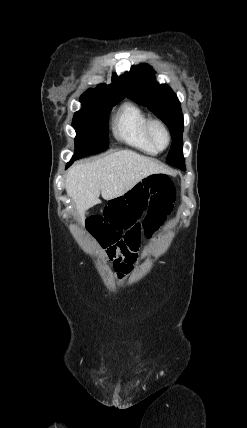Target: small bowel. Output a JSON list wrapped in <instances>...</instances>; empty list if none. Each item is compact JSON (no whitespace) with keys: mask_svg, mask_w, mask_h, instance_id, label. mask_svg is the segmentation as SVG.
Here are the masks:
<instances>
[{"mask_svg":"<svg viewBox=\"0 0 247 428\" xmlns=\"http://www.w3.org/2000/svg\"><path fill=\"white\" fill-rule=\"evenodd\" d=\"M136 255L129 258L126 255L119 254L113 261V267L118 272L120 276H126L129 274L133 268V264L136 261Z\"/></svg>","mask_w":247,"mask_h":428,"instance_id":"obj_1","label":"small bowel"}]
</instances>
